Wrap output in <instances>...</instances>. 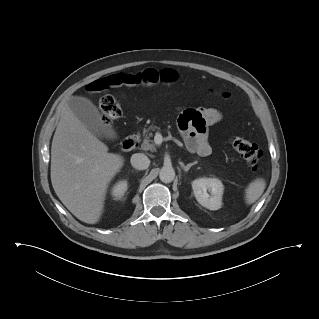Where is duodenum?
<instances>
[{"mask_svg": "<svg viewBox=\"0 0 319 319\" xmlns=\"http://www.w3.org/2000/svg\"><path fill=\"white\" fill-rule=\"evenodd\" d=\"M137 144V137L134 135L128 136L127 138H125L122 142H121V149L123 151H130L133 148H135Z\"/></svg>", "mask_w": 319, "mask_h": 319, "instance_id": "obj_1", "label": "duodenum"}]
</instances>
